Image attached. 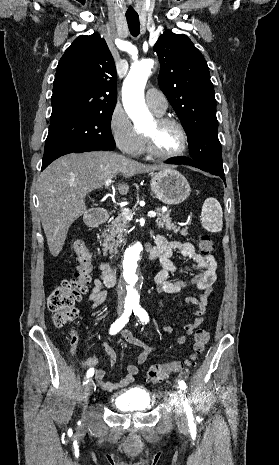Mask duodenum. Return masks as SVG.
Listing matches in <instances>:
<instances>
[{
    "mask_svg": "<svg viewBox=\"0 0 279 465\" xmlns=\"http://www.w3.org/2000/svg\"><path fill=\"white\" fill-rule=\"evenodd\" d=\"M109 217L110 213L106 210L94 211L87 215L86 224L90 227H97L105 223L109 219ZM147 251L149 254V259L153 260L157 258L158 252L154 247L147 245ZM103 279L106 286L112 287L115 285L116 276L113 268H111L110 266L107 267V269L104 272Z\"/></svg>",
    "mask_w": 279,
    "mask_h": 465,
    "instance_id": "1",
    "label": "duodenum"
}]
</instances>
